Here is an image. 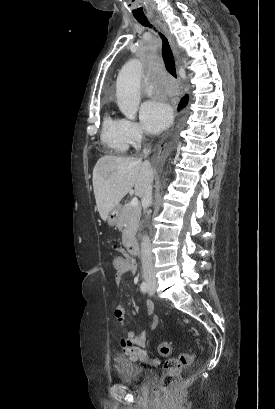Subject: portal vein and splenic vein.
I'll list each match as a JSON object with an SVG mask.
<instances>
[{"mask_svg":"<svg viewBox=\"0 0 275 409\" xmlns=\"http://www.w3.org/2000/svg\"><path fill=\"white\" fill-rule=\"evenodd\" d=\"M114 186H116V184H114ZM131 205L132 207H137L138 205V198L137 196H133L132 200H131Z\"/></svg>","mask_w":275,"mask_h":409,"instance_id":"1","label":"portal vein and splenic vein"}]
</instances>
